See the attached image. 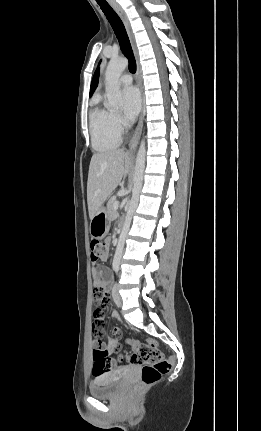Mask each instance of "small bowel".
Masks as SVG:
<instances>
[{
	"mask_svg": "<svg viewBox=\"0 0 261 431\" xmlns=\"http://www.w3.org/2000/svg\"><path fill=\"white\" fill-rule=\"evenodd\" d=\"M109 243L110 240H107ZM108 255L102 258V260H107ZM93 278H94V291L92 292V303L94 306V310L92 313V316L94 319L92 320L93 323V336L94 340L92 341L93 346L95 349H100L106 351L109 353H117L120 350L118 337L120 334V330L117 327H114L111 329L112 339L111 341L106 345L102 343L103 340V334L106 327L107 320L104 318L105 315H107V300L108 295L106 291L108 290L111 282H112V275L110 271L103 266H97L93 268ZM113 317L116 315L113 314ZM95 351V350H94ZM109 360H114L109 358ZM116 362V369L119 367L118 362Z\"/></svg>",
	"mask_w": 261,
	"mask_h": 431,
	"instance_id": "small-bowel-1",
	"label": "small bowel"
}]
</instances>
